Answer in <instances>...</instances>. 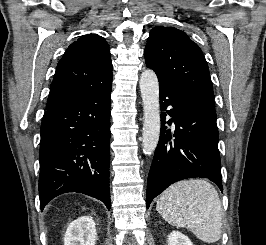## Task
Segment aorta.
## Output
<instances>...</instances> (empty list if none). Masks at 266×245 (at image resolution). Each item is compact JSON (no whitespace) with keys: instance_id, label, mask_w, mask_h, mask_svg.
I'll list each match as a JSON object with an SVG mask.
<instances>
[{"instance_id":"aorta-1","label":"aorta","mask_w":266,"mask_h":245,"mask_svg":"<svg viewBox=\"0 0 266 245\" xmlns=\"http://www.w3.org/2000/svg\"><path fill=\"white\" fill-rule=\"evenodd\" d=\"M139 86L141 90L144 120L142 147L144 155L154 153L160 137L159 82L154 70L146 68L141 72Z\"/></svg>"}]
</instances>
